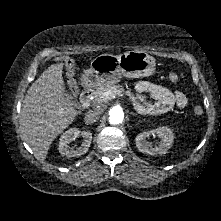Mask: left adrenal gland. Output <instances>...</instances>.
<instances>
[{"label":"left adrenal gland","instance_id":"1","mask_svg":"<svg viewBox=\"0 0 221 221\" xmlns=\"http://www.w3.org/2000/svg\"><path fill=\"white\" fill-rule=\"evenodd\" d=\"M132 116H138L136 113L131 112L130 113Z\"/></svg>","mask_w":221,"mask_h":221}]
</instances>
